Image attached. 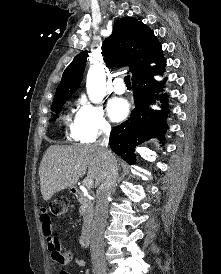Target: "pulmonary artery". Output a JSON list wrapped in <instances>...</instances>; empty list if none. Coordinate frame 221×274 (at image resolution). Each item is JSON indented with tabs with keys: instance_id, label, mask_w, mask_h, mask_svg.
Segmentation results:
<instances>
[{
	"instance_id": "pulmonary-artery-1",
	"label": "pulmonary artery",
	"mask_w": 221,
	"mask_h": 274,
	"mask_svg": "<svg viewBox=\"0 0 221 274\" xmlns=\"http://www.w3.org/2000/svg\"><path fill=\"white\" fill-rule=\"evenodd\" d=\"M112 87L117 94H123L126 91L125 84L121 77H117L113 80Z\"/></svg>"
}]
</instances>
